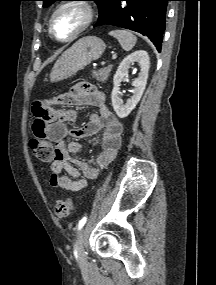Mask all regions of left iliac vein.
I'll list each match as a JSON object with an SVG mask.
<instances>
[{"instance_id": "1", "label": "left iliac vein", "mask_w": 216, "mask_h": 285, "mask_svg": "<svg viewBox=\"0 0 216 285\" xmlns=\"http://www.w3.org/2000/svg\"><path fill=\"white\" fill-rule=\"evenodd\" d=\"M86 229L83 228L78 235L77 242H76V249L80 259L84 258V239H85Z\"/></svg>"}]
</instances>
